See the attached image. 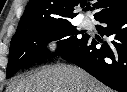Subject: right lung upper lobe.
Segmentation results:
<instances>
[{"mask_svg": "<svg viewBox=\"0 0 127 92\" xmlns=\"http://www.w3.org/2000/svg\"><path fill=\"white\" fill-rule=\"evenodd\" d=\"M89 0H30L20 19L13 38L22 35L30 28L37 26H60L70 23L74 18V7L84 8ZM97 12V20L110 13L119 12L127 8V0H97L93 4Z\"/></svg>", "mask_w": 127, "mask_h": 92, "instance_id": "cb5924a9", "label": "right lung upper lobe"}]
</instances>
